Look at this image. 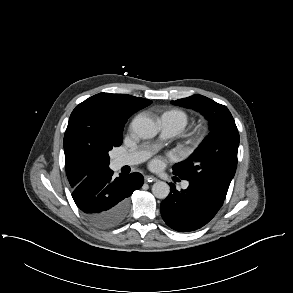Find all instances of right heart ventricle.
I'll return each mask as SVG.
<instances>
[{
	"label": "right heart ventricle",
	"mask_w": 293,
	"mask_h": 293,
	"mask_svg": "<svg viewBox=\"0 0 293 293\" xmlns=\"http://www.w3.org/2000/svg\"><path fill=\"white\" fill-rule=\"evenodd\" d=\"M165 113H171L176 117L177 124L180 126L181 130L187 126L190 120L189 114L182 109H172L166 111Z\"/></svg>",
	"instance_id": "e07e8e85"
}]
</instances>
